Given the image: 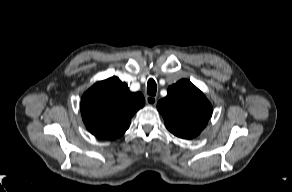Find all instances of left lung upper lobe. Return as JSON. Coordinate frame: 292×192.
<instances>
[{
	"label": "left lung upper lobe",
	"instance_id": "obj_1",
	"mask_svg": "<svg viewBox=\"0 0 292 192\" xmlns=\"http://www.w3.org/2000/svg\"><path fill=\"white\" fill-rule=\"evenodd\" d=\"M166 128L183 139L201 133L212 115V105L190 81L182 79L169 86L168 94L158 101Z\"/></svg>",
	"mask_w": 292,
	"mask_h": 192
}]
</instances>
